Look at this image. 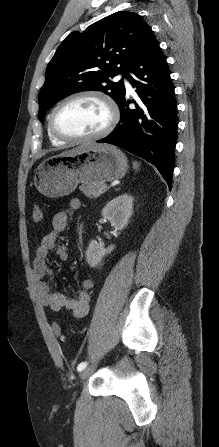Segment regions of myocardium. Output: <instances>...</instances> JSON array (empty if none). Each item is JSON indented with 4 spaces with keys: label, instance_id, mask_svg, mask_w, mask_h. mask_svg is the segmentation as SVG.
I'll use <instances>...</instances> for the list:
<instances>
[{
    "label": "myocardium",
    "instance_id": "f54148a6",
    "mask_svg": "<svg viewBox=\"0 0 219 447\" xmlns=\"http://www.w3.org/2000/svg\"><path fill=\"white\" fill-rule=\"evenodd\" d=\"M81 98H92L101 102L108 111L107 124L102 130L88 136L71 137L59 132L55 126V115L57 111L66 103ZM118 119H119L118 107L109 95L97 90H81L66 96L56 104V106L52 109L50 113L48 126L51 133L58 139L69 143H82V142L94 141L109 135L117 125Z\"/></svg>",
    "mask_w": 219,
    "mask_h": 447
}]
</instances>
